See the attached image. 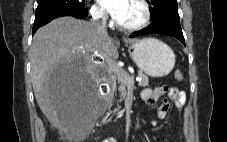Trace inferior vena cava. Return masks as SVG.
Returning <instances> with one entry per match:
<instances>
[{
	"label": "inferior vena cava",
	"mask_w": 227,
	"mask_h": 142,
	"mask_svg": "<svg viewBox=\"0 0 227 142\" xmlns=\"http://www.w3.org/2000/svg\"><path fill=\"white\" fill-rule=\"evenodd\" d=\"M90 24L95 27L98 33L107 34L106 17L103 11H94Z\"/></svg>",
	"instance_id": "602c4592"
}]
</instances>
